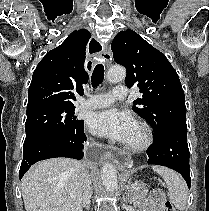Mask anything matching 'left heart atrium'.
Here are the masks:
<instances>
[{"label":"left heart atrium","instance_id":"left-heart-atrium-1","mask_svg":"<svg viewBox=\"0 0 209 211\" xmlns=\"http://www.w3.org/2000/svg\"><path fill=\"white\" fill-rule=\"evenodd\" d=\"M88 127L96 134L126 143L136 128V122L128 112L107 109L92 113Z\"/></svg>","mask_w":209,"mask_h":211}]
</instances>
